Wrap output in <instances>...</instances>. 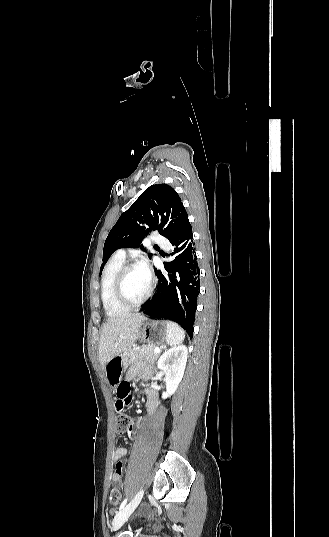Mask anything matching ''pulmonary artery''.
Instances as JSON below:
<instances>
[{
    "mask_svg": "<svg viewBox=\"0 0 329 537\" xmlns=\"http://www.w3.org/2000/svg\"><path fill=\"white\" fill-rule=\"evenodd\" d=\"M152 241L154 243L164 247V248H169V246H170L169 241L166 238H164V237H162L160 235H153ZM115 256H117L119 258H122V259H125L126 252H125L124 249H119V250L116 251Z\"/></svg>",
    "mask_w": 329,
    "mask_h": 537,
    "instance_id": "obj_1",
    "label": "pulmonary artery"
}]
</instances>
